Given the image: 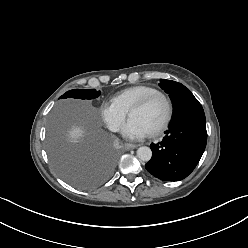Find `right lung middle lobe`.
Masks as SVG:
<instances>
[{
  "label": "right lung middle lobe",
  "mask_w": 248,
  "mask_h": 248,
  "mask_svg": "<svg viewBox=\"0 0 248 248\" xmlns=\"http://www.w3.org/2000/svg\"><path fill=\"white\" fill-rule=\"evenodd\" d=\"M100 94L95 89H74L59 99H94ZM48 151L58 174L66 182L82 189L102 184L110 176L115 163L106 139L96 128H93L89 138L81 143L69 142L61 132L51 129Z\"/></svg>",
  "instance_id": "1"
}]
</instances>
